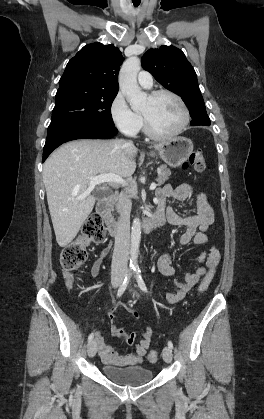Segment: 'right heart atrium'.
<instances>
[{
  "label": "right heart atrium",
  "instance_id": "right-heart-atrium-1",
  "mask_svg": "<svg viewBox=\"0 0 264 419\" xmlns=\"http://www.w3.org/2000/svg\"><path fill=\"white\" fill-rule=\"evenodd\" d=\"M110 115L114 125L125 135L135 136L142 129L141 115L130 108L122 92H118L113 98Z\"/></svg>",
  "mask_w": 264,
  "mask_h": 419
}]
</instances>
